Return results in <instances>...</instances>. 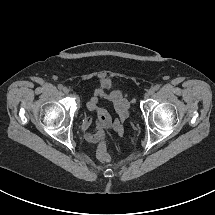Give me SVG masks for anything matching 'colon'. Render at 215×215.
<instances>
[{
  "mask_svg": "<svg viewBox=\"0 0 215 215\" xmlns=\"http://www.w3.org/2000/svg\"><path fill=\"white\" fill-rule=\"evenodd\" d=\"M112 129H109L107 131V136L112 134ZM97 156L98 159L102 162V163H109L111 161V157L107 151V145L105 142H102L98 148H97Z\"/></svg>",
  "mask_w": 215,
  "mask_h": 215,
  "instance_id": "colon-1",
  "label": "colon"
}]
</instances>
